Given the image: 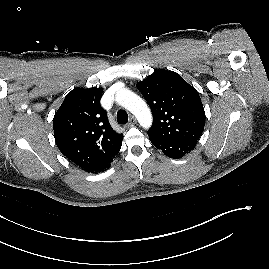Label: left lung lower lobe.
Listing matches in <instances>:
<instances>
[{
    "label": "left lung lower lobe",
    "mask_w": 269,
    "mask_h": 269,
    "mask_svg": "<svg viewBox=\"0 0 269 269\" xmlns=\"http://www.w3.org/2000/svg\"><path fill=\"white\" fill-rule=\"evenodd\" d=\"M151 143L158 149L162 150V152L174 159L181 158L186 153L190 152L195 146L196 141H184V142H173V141H164L157 140L149 137Z\"/></svg>",
    "instance_id": "obj_1"
}]
</instances>
